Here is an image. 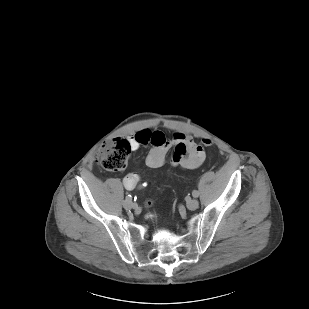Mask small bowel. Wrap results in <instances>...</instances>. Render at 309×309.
Listing matches in <instances>:
<instances>
[{"instance_id":"1","label":"small bowel","mask_w":309,"mask_h":309,"mask_svg":"<svg viewBox=\"0 0 309 309\" xmlns=\"http://www.w3.org/2000/svg\"><path fill=\"white\" fill-rule=\"evenodd\" d=\"M131 148L139 149L143 145L151 144L153 149L147 156V165L152 168L161 166L171 150V165L184 170L199 168L205 160V151L202 145L191 136L181 131H175L172 139L168 140L165 134L157 129H141L129 138ZM139 177L135 173H128L123 183L127 189H133Z\"/></svg>"}]
</instances>
